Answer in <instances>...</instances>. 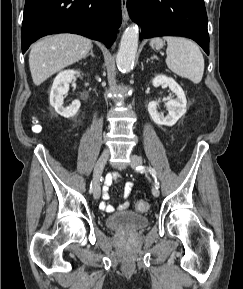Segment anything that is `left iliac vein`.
I'll use <instances>...</instances> for the list:
<instances>
[{
	"instance_id": "obj_1",
	"label": "left iliac vein",
	"mask_w": 243,
	"mask_h": 289,
	"mask_svg": "<svg viewBox=\"0 0 243 289\" xmlns=\"http://www.w3.org/2000/svg\"><path fill=\"white\" fill-rule=\"evenodd\" d=\"M142 164V159L141 157L137 156V155H131V162L130 165L133 169H136L138 166H140ZM152 194L154 197H158L160 192L158 190L157 187H153L152 188Z\"/></svg>"
}]
</instances>
